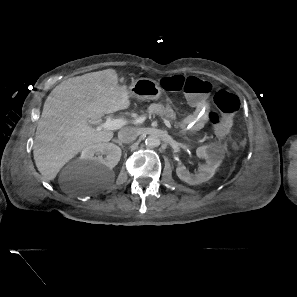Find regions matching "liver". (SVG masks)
<instances>
[{
    "label": "liver",
    "mask_w": 297,
    "mask_h": 297,
    "mask_svg": "<svg viewBox=\"0 0 297 297\" xmlns=\"http://www.w3.org/2000/svg\"><path fill=\"white\" fill-rule=\"evenodd\" d=\"M126 85H118L113 69L87 73L63 81L47 97L38 121L33 156L43 178L53 180L61 168L84 148L107 143L110 130L93 128L104 114L128 109Z\"/></svg>",
    "instance_id": "liver-1"
}]
</instances>
